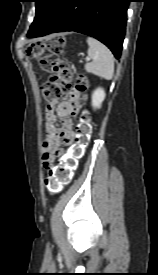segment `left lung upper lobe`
<instances>
[{"label": "left lung upper lobe", "mask_w": 158, "mask_h": 275, "mask_svg": "<svg viewBox=\"0 0 158 275\" xmlns=\"http://www.w3.org/2000/svg\"><path fill=\"white\" fill-rule=\"evenodd\" d=\"M34 2L36 3V16L27 36H32L43 28L62 0H34Z\"/></svg>", "instance_id": "1"}]
</instances>
